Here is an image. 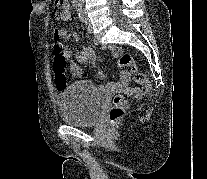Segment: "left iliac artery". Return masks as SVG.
Instances as JSON below:
<instances>
[{
	"instance_id": "1",
	"label": "left iliac artery",
	"mask_w": 207,
	"mask_h": 179,
	"mask_svg": "<svg viewBox=\"0 0 207 179\" xmlns=\"http://www.w3.org/2000/svg\"><path fill=\"white\" fill-rule=\"evenodd\" d=\"M77 13L79 15V18L85 22V13H84V10H83V7L81 5L77 6Z\"/></svg>"
}]
</instances>
